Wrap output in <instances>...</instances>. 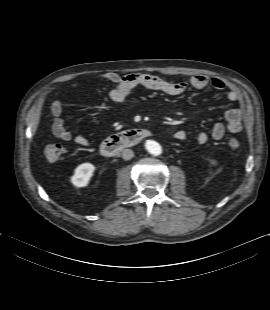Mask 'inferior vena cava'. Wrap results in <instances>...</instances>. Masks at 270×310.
<instances>
[{"instance_id": "obj_1", "label": "inferior vena cava", "mask_w": 270, "mask_h": 310, "mask_svg": "<svg viewBox=\"0 0 270 310\" xmlns=\"http://www.w3.org/2000/svg\"><path fill=\"white\" fill-rule=\"evenodd\" d=\"M133 156H134V152L131 149H125L122 152V158L126 161L133 158Z\"/></svg>"}]
</instances>
